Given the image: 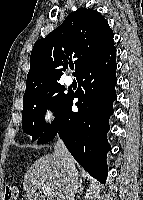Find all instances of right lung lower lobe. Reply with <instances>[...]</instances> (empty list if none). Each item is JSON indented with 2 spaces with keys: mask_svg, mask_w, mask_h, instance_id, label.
I'll return each instance as SVG.
<instances>
[{
  "mask_svg": "<svg viewBox=\"0 0 143 200\" xmlns=\"http://www.w3.org/2000/svg\"><path fill=\"white\" fill-rule=\"evenodd\" d=\"M116 48L91 61L76 76L80 85L69 94L50 126L38 138V144L51 141L57 134L64 141L75 160L94 178L107 179V141L109 118L113 114L116 78ZM77 112L71 107L73 99Z\"/></svg>",
  "mask_w": 143,
  "mask_h": 200,
  "instance_id": "right-lung-lower-lobe-1",
  "label": "right lung lower lobe"
}]
</instances>
